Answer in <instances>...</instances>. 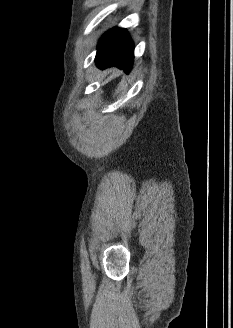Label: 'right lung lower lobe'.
I'll return each instance as SVG.
<instances>
[{"label": "right lung lower lobe", "instance_id": "obj_1", "mask_svg": "<svg viewBox=\"0 0 233 328\" xmlns=\"http://www.w3.org/2000/svg\"><path fill=\"white\" fill-rule=\"evenodd\" d=\"M133 44L125 29L114 28L100 40L96 62L102 69L117 66L128 73L132 67Z\"/></svg>", "mask_w": 233, "mask_h": 328}]
</instances>
